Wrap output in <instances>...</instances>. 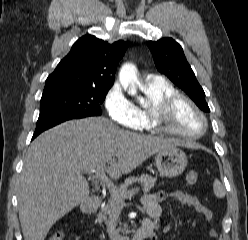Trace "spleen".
<instances>
[{
    "instance_id": "obj_1",
    "label": "spleen",
    "mask_w": 248,
    "mask_h": 240,
    "mask_svg": "<svg viewBox=\"0 0 248 240\" xmlns=\"http://www.w3.org/2000/svg\"><path fill=\"white\" fill-rule=\"evenodd\" d=\"M213 189H214V193L217 197H219V198L224 197L225 193H224L223 187H222V185L218 179L214 180Z\"/></svg>"
}]
</instances>
